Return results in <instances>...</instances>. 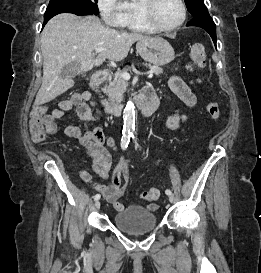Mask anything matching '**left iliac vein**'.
Returning a JSON list of instances; mask_svg holds the SVG:
<instances>
[{
  "mask_svg": "<svg viewBox=\"0 0 261 273\" xmlns=\"http://www.w3.org/2000/svg\"><path fill=\"white\" fill-rule=\"evenodd\" d=\"M168 199H169L170 202H173V201H174V196H173V194L168 195Z\"/></svg>",
  "mask_w": 261,
  "mask_h": 273,
  "instance_id": "obj_1",
  "label": "left iliac vein"
}]
</instances>
